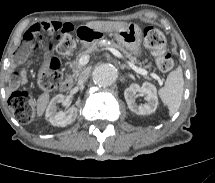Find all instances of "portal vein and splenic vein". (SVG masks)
I'll list each match as a JSON object with an SVG mask.
<instances>
[{"instance_id": "obj_1", "label": "portal vein and splenic vein", "mask_w": 215, "mask_h": 183, "mask_svg": "<svg viewBox=\"0 0 215 183\" xmlns=\"http://www.w3.org/2000/svg\"><path fill=\"white\" fill-rule=\"evenodd\" d=\"M108 50H110V52H111L113 55H115L116 57H118V58L124 60V61L128 64V66H129L132 70H134L135 72H137V73H139V74H141V75H150L151 77H153L154 79H156V80L159 82L160 85L163 84L161 78H160L157 74H155V73H149L147 70H145V69H143V68H140V67H137L133 62H130V61L126 60V59L124 58V56H123L118 50H116V49H114V48H108ZM89 58H90L89 55H84V56H82V57L80 58V61H79L80 64H81V65H86V64L89 62Z\"/></svg>"}]
</instances>
